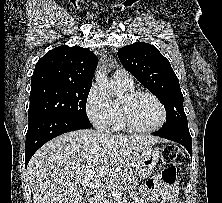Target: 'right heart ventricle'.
Wrapping results in <instances>:
<instances>
[{
  "instance_id": "right-heart-ventricle-1",
  "label": "right heart ventricle",
  "mask_w": 222,
  "mask_h": 203,
  "mask_svg": "<svg viewBox=\"0 0 222 203\" xmlns=\"http://www.w3.org/2000/svg\"><path fill=\"white\" fill-rule=\"evenodd\" d=\"M122 90L124 91V93H130V92H133L134 89L133 87H122ZM113 106H114V114H113V121H112V129L113 130H116V131H125L127 130L128 128L125 126V124L123 123V120L121 118V114H120V109H119V100H116L114 103H113Z\"/></svg>"
}]
</instances>
